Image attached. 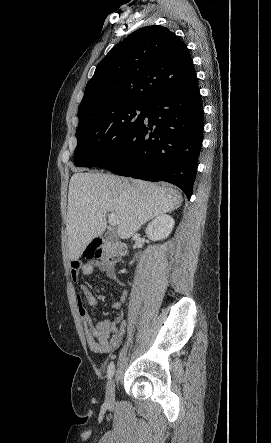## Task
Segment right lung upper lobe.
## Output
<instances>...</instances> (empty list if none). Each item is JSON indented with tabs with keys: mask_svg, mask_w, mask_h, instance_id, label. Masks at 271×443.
I'll return each mask as SVG.
<instances>
[{
	"mask_svg": "<svg viewBox=\"0 0 271 443\" xmlns=\"http://www.w3.org/2000/svg\"><path fill=\"white\" fill-rule=\"evenodd\" d=\"M197 80L186 45L170 30L140 28L98 63L78 110L94 118L124 103H150L157 95Z\"/></svg>",
	"mask_w": 271,
	"mask_h": 443,
	"instance_id": "obj_1",
	"label": "right lung upper lobe"
}]
</instances>
